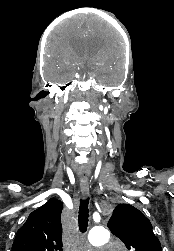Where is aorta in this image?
Listing matches in <instances>:
<instances>
[{
    "label": "aorta",
    "mask_w": 174,
    "mask_h": 251,
    "mask_svg": "<svg viewBox=\"0 0 174 251\" xmlns=\"http://www.w3.org/2000/svg\"><path fill=\"white\" fill-rule=\"evenodd\" d=\"M109 239L110 233L104 227H95L89 232L88 235L89 243L95 247H99L106 244Z\"/></svg>",
    "instance_id": "1"
}]
</instances>
